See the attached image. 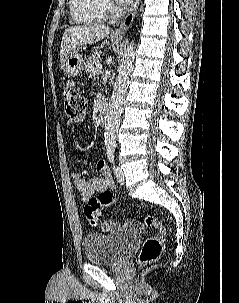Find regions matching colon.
Instances as JSON below:
<instances>
[{"label": "colon", "instance_id": "colon-1", "mask_svg": "<svg viewBox=\"0 0 239 303\" xmlns=\"http://www.w3.org/2000/svg\"><path fill=\"white\" fill-rule=\"evenodd\" d=\"M66 116L73 120L82 116L87 109V100L84 93L74 82H68L63 91ZM116 202L110 191H103L96 197H91L84 206V216L87 221L97 226L101 221V209ZM144 224L156 230L155 236L148 237L140 250L139 262L143 265L158 260L162 252L163 239L166 228L154 215L146 214Z\"/></svg>", "mask_w": 239, "mask_h": 303}]
</instances>
